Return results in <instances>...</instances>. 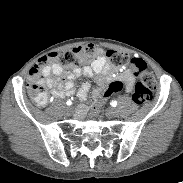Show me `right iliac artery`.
Masks as SVG:
<instances>
[{"label":"right iliac artery","mask_w":183,"mask_h":183,"mask_svg":"<svg viewBox=\"0 0 183 183\" xmlns=\"http://www.w3.org/2000/svg\"><path fill=\"white\" fill-rule=\"evenodd\" d=\"M66 104H67V105H71L72 102H71L70 100H68V101L66 102Z\"/></svg>","instance_id":"right-iliac-artery-1"}]
</instances>
